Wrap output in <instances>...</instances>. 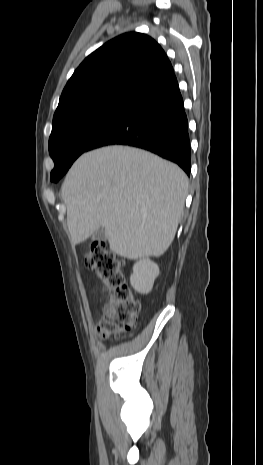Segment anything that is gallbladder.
Returning a JSON list of instances; mask_svg holds the SVG:
<instances>
[{
    "instance_id": "1",
    "label": "gallbladder",
    "mask_w": 263,
    "mask_h": 465,
    "mask_svg": "<svg viewBox=\"0 0 263 465\" xmlns=\"http://www.w3.org/2000/svg\"><path fill=\"white\" fill-rule=\"evenodd\" d=\"M106 233L104 228L98 229L94 234L92 235V240H98V241H104L106 240Z\"/></svg>"
}]
</instances>
